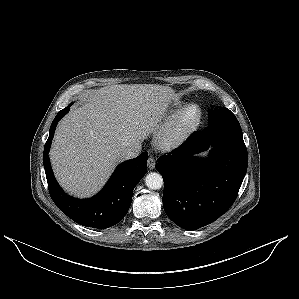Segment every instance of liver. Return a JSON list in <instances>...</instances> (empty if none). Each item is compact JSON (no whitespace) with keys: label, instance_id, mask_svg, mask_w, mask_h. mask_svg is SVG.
Segmentation results:
<instances>
[{"label":"liver","instance_id":"liver-1","mask_svg":"<svg viewBox=\"0 0 299 299\" xmlns=\"http://www.w3.org/2000/svg\"><path fill=\"white\" fill-rule=\"evenodd\" d=\"M176 94L156 84L95 90L57 126L50 150L60 185L78 197L99 191L122 159L121 151L154 131Z\"/></svg>","mask_w":299,"mask_h":299}]
</instances>
